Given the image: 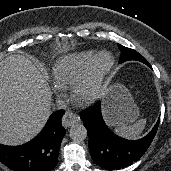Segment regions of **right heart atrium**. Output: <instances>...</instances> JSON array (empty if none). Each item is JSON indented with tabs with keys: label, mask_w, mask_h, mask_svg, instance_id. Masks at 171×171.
I'll list each match as a JSON object with an SVG mask.
<instances>
[{
	"label": "right heart atrium",
	"mask_w": 171,
	"mask_h": 171,
	"mask_svg": "<svg viewBox=\"0 0 171 171\" xmlns=\"http://www.w3.org/2000/svg\"><path fill=\"white\" fill-rule=\"evenodd\" d=\"M64 90H65L64 87L59 86V85H57V84L54 85V91H55V93H56L57 96L63 95Z\"/></svg>",
	"instance_id": "right-heart-atrium-1"
}]
</instances>
